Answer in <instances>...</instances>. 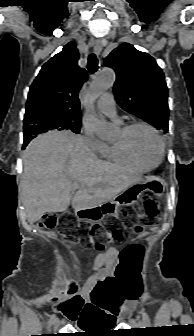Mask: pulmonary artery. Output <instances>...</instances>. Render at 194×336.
Returning a JSON list of instances; mask_svg holds the SVG:
<instances>
[{
    "mask_svg": "<svg viewBox=\"0 0 194 336\" xmlns=\"http://www.w3.org/2000/svg\"><path fill=\"white\" fill-rule=\"evenodd\" d=\"M97 106L100 112L104 115L113 119H117L114 98L111 93L103 94L98 100Z\"/></svg>",
    "mask_w": 194,
    "mask_h": 336,
    "instance_id": "1",
    "label": "pulmonary artery"
}]
</instances>
